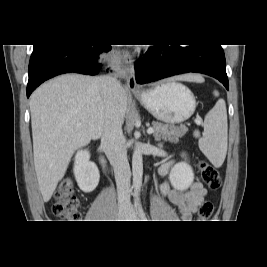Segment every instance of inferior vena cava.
Wrapping results in <instances>:
<instances>
[{
  "label": "inferior vena cava",
  "mask_w": 267,
  "mask_h": 267,
  "mask_svg": "<svg viewBox=\"0 0 267 267\" xmlns=\"http://www.w3.org/2000/svg\"><path fill=\"white\" fill-rule=\"evenodd\" d=\"M102 86L110 95L106 119L101 136V147L114 169L118 193L119 210H125L130 203V167L127 159L125 140L122 132V119L115 103L121 85L111 76L101 77Z\"/></svg>",
  "instance_id": "obj_1"
}]
</instances>
